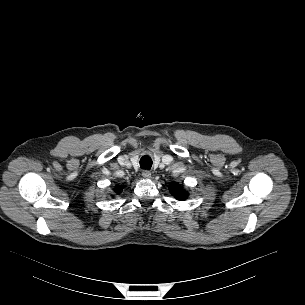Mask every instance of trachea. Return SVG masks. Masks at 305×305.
<instances>
[{
  "mask_svg": "<svg viewBox=\"0 0 305 305\" xmlns=\"http://www.w3.org/2000/svg\"><path fill=\"white\" fill-rule=\"evenodd\" d=\"M151 166H152V159H151V157L148 156V155H144L140 159V167L142 169L150 170Z\"/></svg>",
  "mask_w": 305,
  "mask_h": 305,
  "instance_id": "3493384b",
  "label": "trachea"
}]
</instances>
